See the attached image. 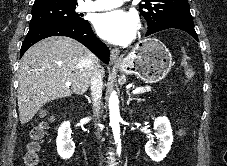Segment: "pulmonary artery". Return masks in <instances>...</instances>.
<instances>
[{
	"label": "pulmonary artery",
	"mask_w": 227,
	"mask_h": 166,
	"mask_svg": "<svg viewBox=\"0 0 227 166\" xmlns=\"http://www.w3.org/2000/svg\"><path fill=\"white\" fill-rule=\"evenodd\" d=\"M129 0H89L81 7L85 11H103L117 8Z\"/></svg>",
	"instance_id": "e3ab8cb5"
}]
</instances>
